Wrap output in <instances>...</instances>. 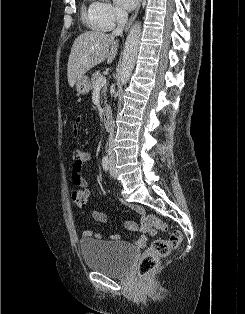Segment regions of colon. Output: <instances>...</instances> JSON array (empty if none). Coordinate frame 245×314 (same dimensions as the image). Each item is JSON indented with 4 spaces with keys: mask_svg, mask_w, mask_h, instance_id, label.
Masks as SVG:
<instances>
[{
    "mask_svg": "<svg viewBox=\"0 0 245 314\" xmlns=\"http://www.w3.org/2000/svg\"><path fill=\"white\" fill-rule=\"evenodd\" d=\"M89 191L86 188L75 189L72 192V200L79 207H85L89 202ZM143 222L149 226H154L160 230H165L166 225L154 214L146 213ZM182 242V235L179 231L171 233L168 240H154L144 252L139 264L138 272L146 275L154 270L161 259L167 257L171 250L176 249Z\"/></svg>",
    "mask_w": 245,
    "mask_h": 314,
    "instance_id": "1",
    "label": "colon"
}]
</instances>
